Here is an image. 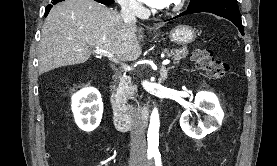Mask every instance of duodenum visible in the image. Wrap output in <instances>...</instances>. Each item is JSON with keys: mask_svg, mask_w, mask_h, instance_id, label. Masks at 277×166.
Returning <instances> with one entry per match:
<instances>
[{"mask_svg": "<svg viewBox=\"0 0 277 166\" xmlns=\"http://www.w3.org/2000/svg\"><path fill=\"white\" fill-rule=\"evenodd\" d=\"M109 105L113 123L118 130H131L136 128L138 125L136 117L122 110L112 99L109 100ZM147 115L148 110L146 109L141 117L143 123H145Z\"/></svg>", "mask_w": 277, "mask_h": 166, "instance_id": "duodenum-1", "label": "duodenum"}]
</instances>
